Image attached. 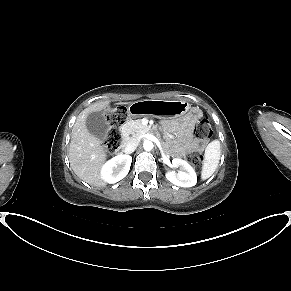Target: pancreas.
Listing matches in <instances>:
<instances>
[{"mask_svg":"<svg viewBox=\"0 0 291 291\" xmlns=\"http://www.w3.org/2000/svg\"><path fill=\"white\" fill-rule=\"evenodd\" d=\"M148 130L149 128L142 124L141 119L127 121L122 127L123 132L131 133L135 136H139ZM124 137L127 138L126 135Z\"/></svg>","mask_w":291,"mask_h":291,"instance_id":"1","label":"pancreas"}]
</instances>
